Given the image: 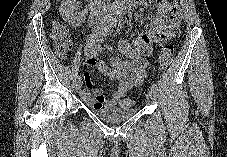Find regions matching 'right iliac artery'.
I'll list each match as a JSON object with an SVG mask.
<instances>
[{"mask_svg":"<svg viewBox=\"0 0 227 157\" xmlns=\"http://www.w3.org/2000/svg\"><path fill=\"white\" fill-rule=\"evenodd\" d=\"M78 81H81V77L76 75Z\"/></svg>","mask_w":227,"mask_h":157,"instance_id":"obj_1","label":"right iliac artery"}]
</instances>
